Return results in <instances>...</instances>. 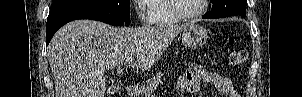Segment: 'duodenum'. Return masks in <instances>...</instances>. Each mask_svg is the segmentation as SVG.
<instances>
[{"instance_id":"1","label":"duodenum","mask_w":302,"mask_h":97,"mask_svg":"<svg viewBox=\"0 0 302 97\" xmlns=\"http://www.w3.org/2000/svg\"><path fill=\"white\" fill-rule=\"evenodd\" d=\"M126 91H127V95L129 97H135L138 95V92L140 91V86L137 85V84H132V85H129L127 88H126Z\"/></svg>"}]
</instances>
